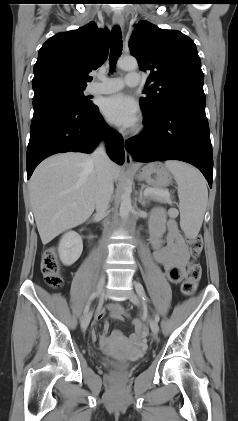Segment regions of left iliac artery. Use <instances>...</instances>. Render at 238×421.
Wrapping results in <instances>:
<instances>
[{
	"instance_id": "44dca946",
	"label": "left iliac artery",
	"mask_w": 238,
	"mask_h": 421,
	"mask_svg": "<svg viewBox=\"0 0 238 421\" xmlns=\"http://www.w3.org/2000/svg\"><path fill=\"white\" fill-rule=\"evenodd\" d=\"M135 288H136L137 294L139 295V297L141 298V300L143 302H150V300L148 299V297L145 294V290H144V288H143V286H142L141 283H136L135 284ZM159 319H160L159 315L158 314H155V320L158 322Z\"/></svg>"
}]
</instances>
